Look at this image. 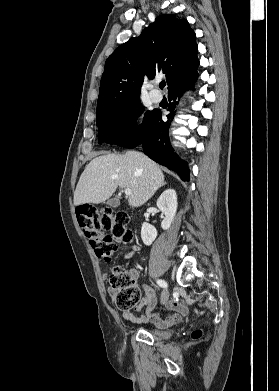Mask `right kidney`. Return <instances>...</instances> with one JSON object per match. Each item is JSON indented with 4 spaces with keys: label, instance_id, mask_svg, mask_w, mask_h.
<instances>
[{
    "label": "right kidney",
    "instance_id": "obj_1",
    "mask_svg": "<svg viewBox=\"0 0 279 391\" xmlns=\"http://www.w3.org/2000/svg\"><path fill=\"white\" fill-rule=\"evenodd\" d=\"M157 207L165 215L161 227L164 230L170 228L177 211V194L174 189L165 190L157 199ZM157 230L154 226L144 222L141 228V238L145 245L150 246L157 237Z\"/></svg>",
    "mask_w": 279,
    "mask_h": 391
}]
</instances>
